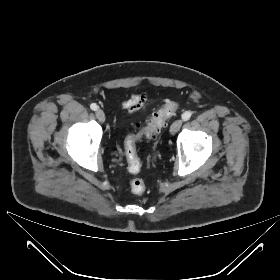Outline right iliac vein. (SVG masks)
<instances>
[{
	"mask_svg": "<svg viewBox=\"0 0 280 280\" xmlns=\"http://www.w3.org/2000/svg\"><path fill=\"white\" fill-rule=\"evenodd\" d=\"M96 117L100 122H104L105 121V113L103 112V110L101 109H97L96 110Z\"/></svg>",
	"mask_w": 280,
	"mask_h": 280,
	"instance_id": "1",
	"label": "right iliac vein"
}]
</instances>
